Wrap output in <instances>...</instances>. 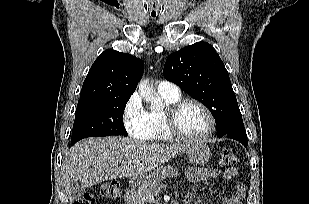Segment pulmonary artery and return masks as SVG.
I'll list each match as a JSON object with an SVG mask.
<instances>
[{
  "instance_id": "pulmonary-artery-1",
  "label": "pulmonary artery",
  "mask_w": 309,
  "mask_h": 204,
  "mask_svg": "<svg viewBox=\"0 0 309 204\" xmlns=\"http://www.w3.org/2000/svg\"><path fill=\"white\" fill-rule=\"evenodd\" d=\"M157 90L160 94H167V95L180 94V90L176 84L165 80L159 81L157 83Z\"/></svg>"
}]
</instances>
